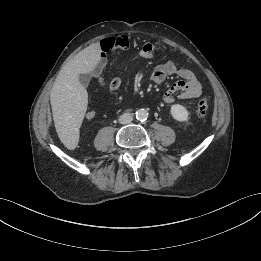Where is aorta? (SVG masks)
<instances>
[{"instance_id": "762f6f07", "label": "aorta", "mask_w": 261, "mask_h": 261, "mask_svg": "<svg viewBox=\"0 0 261 261\" xmlns=\"http://www.w3.org/2000/svg\"><path fill=\"white\" fill-rule=\"evenodd\" d=\"M137 120L144 121L148 118V112L145 109H139L136 111Z\"/></svg>"}]
</instances>
